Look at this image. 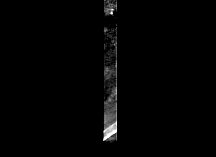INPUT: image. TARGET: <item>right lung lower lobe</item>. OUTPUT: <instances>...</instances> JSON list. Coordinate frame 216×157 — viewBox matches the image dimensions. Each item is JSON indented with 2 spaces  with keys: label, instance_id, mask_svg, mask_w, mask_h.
<instances>
[{
  "label": "right lung lower lobe",
  "instance_id": "obj_1",
  "mask_svg": "<svg viewBox=\"0 0 216 157\" xmlns=\"http://www.w3.org/2000/svg\"><path fill=\"white\" fill-rule=\"evenodd\" d=\"M156 136L150 116L136 106L117 127L115 141L94 146L91 157H153L158 154Z\"/></svg>",
  "mask_w": 216,
  "mask_h": 157
}]
</instances>
